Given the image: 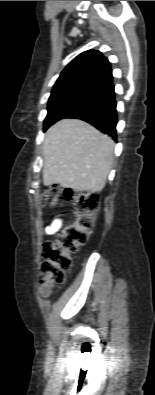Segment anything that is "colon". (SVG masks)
I'll use <instances>...</instances> for the list:
<instances>
[{
	"label": "colon",
	"instance_id": "colon-1",
	"mask_svg": "<svg viewBox=\"0 0 155 395\" xmlns=\"http://www.w3.org/2000/svg\"><path fill=\"white\" fill-rule=\"evenodd\" d=\"M61 196L71 203L74 218L61 227L54 241L43 246L40 289L45 296L50 293L53 285L63 282L65 273L71 268V255L86 243L99 207L97 193L61 191L58 187L44 195L42 205L48 199L56 204Z\"/></svg>",
	"mask_w": 155,
	"mask_h": 395
}]
</instances>
